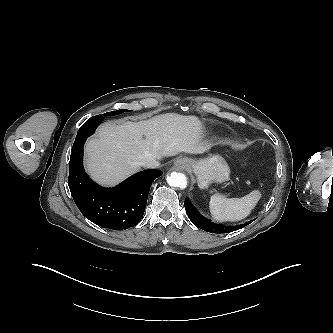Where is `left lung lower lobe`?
Segmentation results:
<instances>
[{
    "mask_svg": "<svg viewBox=\"0 0 333 333\" xmlns=\"http://www.w3.org/2000/svg\"><path fill=\"white\" fill-rule=\"evenodd\" d=\"M185 209L189 219L195 226L211 233H217V234L229 233L236 229L242 228L252 222L249 221L246 222L245 224H240L237 226H224V225L215 224L209 221L208 219H205L204 217L200 216L190 205L188 200H185Z\"/></svg>",
    "mask_w": 333,
    "mask_h": 333,
    "instance_id": "1",
    "label": "left lung lower lobe"
}]
</instances>
